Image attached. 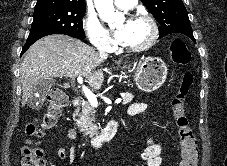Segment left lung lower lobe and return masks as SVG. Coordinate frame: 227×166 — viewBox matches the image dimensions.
<instances>
[{
    "mask_svg": "<svg viewBox=\"0 0 227 166\" xmlns=\"http://www.w3.org/2000/svg\"><path fill=\"white\" fill-rule=\"evenodd\" d=\"M189 38H191L192 39V41H194L195 42V39H194V36L193 35H190V36H188Z\"/></svg>",
    "mask_w": 227,
    "mask_h": 166,
    "instance_id": "left-lung-lower-lobe-1",
    "label": "left lung lower lobe"
}]
</instances>
